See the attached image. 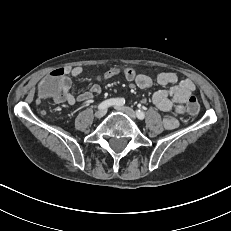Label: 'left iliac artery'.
<instances>
[{
    "label": "left iliac artery",
    "mask_w": 231,
    "mask_h": 231,
    "mask_svg": "<svg viewBox=\"0 0 231 231\" xmlns=\"http://www.w3.org/2000/svg\"><path fill=\"white\" fill-rule=\"evenodd\" d=\"M136 115H137L138 119H140V120H143L145 118V114L141 110H136Z\"/></svg>",
    "instance_id": "1"
}]
</instances>
